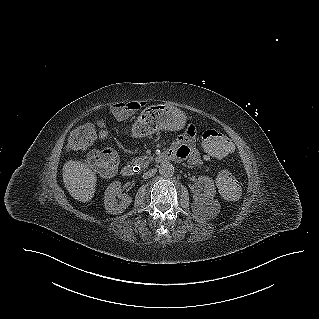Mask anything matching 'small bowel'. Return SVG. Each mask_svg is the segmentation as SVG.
<instances>
[{
  "label": "small bowel",
  "instance_id": "1",
  "mask_svg": "<svg viewBox=\"0 0 319 319\" xmlns=\"http://www.w3.org/2000/svg\"><path fill=\"white\" fill-rule=\"evenodd\" d=\"M139 108L136 102H127L119 100L117 106H112L102 114L100 127L108 130L114 121L124 120L127 115L134 113ZM199 132V125L196 122H189L186 125V132L174 141L170 151L175 155L176 160H188L190 164L197 165L202 162L200 153L195 145V135Z\"/></svg>",
  "mask_w": 319,
  "mask_h": 319
}]
</instances>
